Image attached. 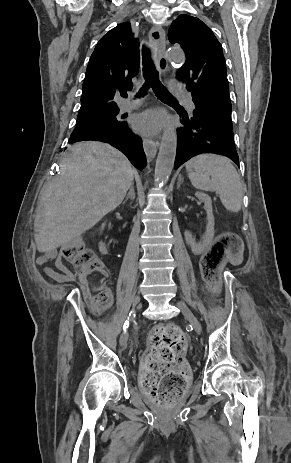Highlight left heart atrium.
Instances as JSON below:
<instances>
[{"label": "left heart atrium", "instance_id": "39dd6f15", "mask_svg": "<svg viewBox=\"0 0 291 463\" xmlns=\"http://www.w3.org/2000/svg\"><path fill=\"white\" fill-rule=\"evenodd\" d=\"M164 124V116L157 110H148L134 119V128L143 135H155Z\"/></svg>", "mask_w": 291, "mask_h": 463}]
</instances>
